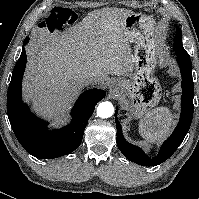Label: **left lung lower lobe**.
I'll return each mask as SVG.
<instances>
[{
    "label": "left lung lower lobe",
    "mask_w": 199,
    "mask_h": 199,
    "mask_svg": "<svg viewBox=\"0 0 199 199\" xmlns=\"http://www.w3.org/2000/svg\"><path fill=\"white\" fill-rule=\"evenodd\" d=\"M182 75L181 116L172 135L163 143L157 156L149 158L141 148L126 141L122 134L120 122L117 119L118 108L115 111L117 128V146L123 155L130 161L143 166H156L166 161L184 140L193 118L194 83L192 79V63L182 54L177 55Z\"/></svg>",
    "instance_id": "obj_1"
}]
</instances>
